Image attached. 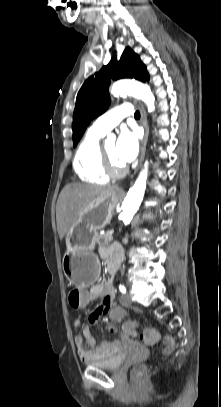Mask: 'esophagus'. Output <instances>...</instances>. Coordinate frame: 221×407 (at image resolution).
I'll use <instances>...</instances> for the list:
<instances>
[{
	"instance_id": "obj_1",
	"label": "esophagus",
	"mask_w": 221,
	"mask_h": 407,
	"mask_svg": "<svg viewBox=\"0 0 221 407\" xmlns=\"http://www.w3.org/2000/svg\"><path fill=\"white\" fill-rule=\"evenodd\" d=\"M134 104L139 108L140 113H141V123L142 126L144 128V137L142 139L141 142V149H140V163H139V167L141 166L144 156H145V151H146V144H147V140H148V135H149V128H148V123H147V115H146V111L145 108L143 106L142 103H140L137 100H134ZM138 167V168H139ZM117 193H123V189L122 188H116L115 190Z\"/></svg>"
}]
</instances>
